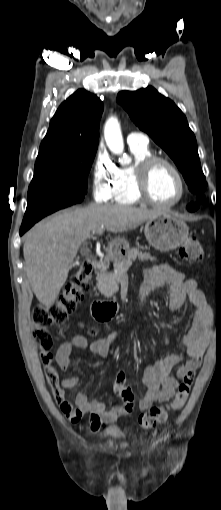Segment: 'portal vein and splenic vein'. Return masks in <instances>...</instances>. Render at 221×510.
Segmentation results:
<instances>
[{
    "instance_id": "obj_1",
    "label": "portal vein and splenic vein",
    "mask_w": 221,
    "mask_h": 510,
    "mask_svg": "<svg viewBox=\"0 0 221 510\" xmlns=\"http://www.w3.org/2000/svg\"><path fill=\"white\" fill-rule=\"evenodd\" d=\"M101 229L103 230V229H104V227L102 226V227H101ZM102 230H101L100 232H98L97 234H101V233H102ZM93 234H95V233H93Z\"/></svg>"
}]
</instances>
